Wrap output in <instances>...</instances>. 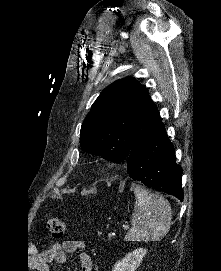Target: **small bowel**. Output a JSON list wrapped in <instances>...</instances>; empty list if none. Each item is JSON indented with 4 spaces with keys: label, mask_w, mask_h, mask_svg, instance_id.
Instances as JSON below:
<instances>
[{
    "label": "small bowel",
    "mask_w": 221,
    "mask_h": 271,
    "mask_svg": "<svg viewBox=\"0 0 221 271\" xmlns=\"http://www.w3.org/2000/svg\"><path fill=\"white\" fill-rule=\"evenodd\" d=\"M78 252L80 271H92V259L87 252L86 243L81 240H64L61 243H55L51 248L42 251L39 254L38 271H50V263L57 262L65 264L66 254Z\"/></svg>",
    "instance_id": "1"
}]
</instances>
